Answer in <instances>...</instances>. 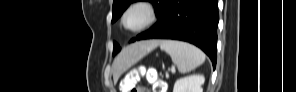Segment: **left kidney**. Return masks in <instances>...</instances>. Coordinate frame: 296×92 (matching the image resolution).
Wrapping results in <instances>:
<instances>
[{"instance_id": "5707ae66", "label": "left kidney", "mask_w": 296, "mask_h": 92, "mask_svg": "<svg viewBox=\"0 0 296 92\" xmlns=\"http://www.w3.org/2000/svg\"><path fill=\"white\" fill-rule=\"evenodd\" d=\"M204 82L203 75L183 77L175 82L173 92H203L202 85Z\"/></svg>"}]
</instances>
